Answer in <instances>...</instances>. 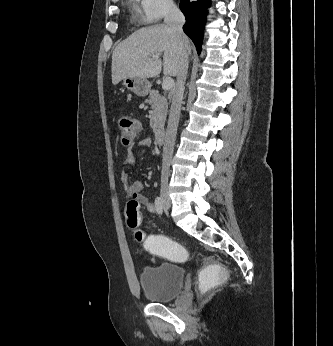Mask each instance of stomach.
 <instances>
[{
  "instance_id": "obj_1",
  "label": "stomach",
  "mask_w": 333,
  "mask_h": 346,
  "mask_svg": "<svg viewBox=\"0 0 333 346\" xmlns=\"http://www.w3.org/2000/svg\"><path fill=\"white\" fill-rule=\"evenodd\" d=\"M123 85L134 94L145 97L150 92L151 84L147 79L137 77H126L123 79Z\"/></svg>"
}]
</instances>
